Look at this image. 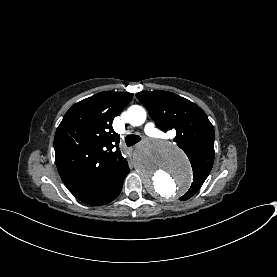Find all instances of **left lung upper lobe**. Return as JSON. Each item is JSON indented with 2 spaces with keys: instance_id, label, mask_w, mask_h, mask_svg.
<instances>
[{
  "instance_id": "1",
  "label": "left lung upper lobe",
  "mask_w": 277,
  "mask_h": 277,
  "mask_svg": "<svg viewBox=\"0 0 277 277\" xmlns=\"http://www.w3.org/2000/svg\"><path fill=\"white\" fill-rule=\"evenodd\" d=\"M147 108L156 126L167 132L175 130L177 143L188 156L193 169V183L180 198L188 200L202 186L214 161V128L205 112L191 101L167 91L136 94Z\"/></svg>"
}]
</instances>
